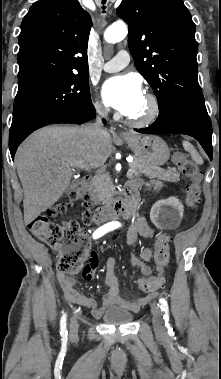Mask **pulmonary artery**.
Instances as JSON below:
<instances>
[{"instance_id":"pulmonary-artery-1","label":"pulmonary artery","mask_w":221,"mask_h":379,"mask_svg":"<svg viewBox=\"0 0 221 379\" xmlns=\"http://www.w3.org/2000/svg\"><path fill=\"white\" fill-rule=\"evenodd\" d=\"M130 61L129 53L125 50L119 51L115 57L102 66L105 72H117L125 68Z\"/></svg>"}]
</instances>
